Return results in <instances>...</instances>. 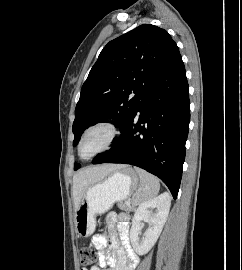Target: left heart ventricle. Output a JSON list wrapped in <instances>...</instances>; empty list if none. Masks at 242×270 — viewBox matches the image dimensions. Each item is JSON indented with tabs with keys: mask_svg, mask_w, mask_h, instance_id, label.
<instances>
[{
	"mask_svg": "<svg viewBox=\"0 0 242 270\" xmlns=\"http://www.w3.org/2000/svg\"><path fill=\"white\" fill-rule=\"evenodd\" d=\"M107 131L98 128L89 132L81 145V155L89 157L103 147L107 139Z\"/></svg>",
	"mask_w": 242,
	"mask_h": 270,
	"instance_id": "left-heart-ventricle-1",
	"label": "left heart ventricle"
}]
</instances>
